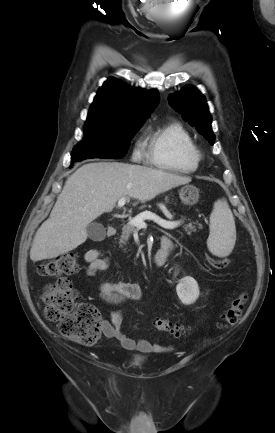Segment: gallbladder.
<instances>
[{
	"instance_id": "1",
	"label": "gallbladder",
	"mask_w": 275,
	"mask_h": 433,
	"mask_svg": "<svg viewBox=\"0 0 275 433\" xmlns=\"http://www.w3.org/2000/svg\"><path fill=\"white\" fill-rule=\"evenodd\" d=\"M87 233L91 240L100 241L105 238L106 231L101 223H90L87 226Z\"/></svg>"
}]
</instances>
